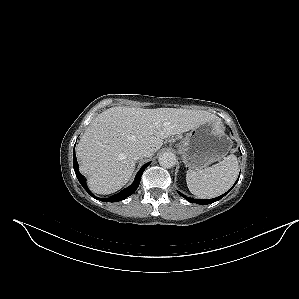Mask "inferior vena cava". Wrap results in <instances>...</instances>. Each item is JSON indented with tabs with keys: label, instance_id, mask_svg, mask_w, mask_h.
I'll list each match as a JSON object with an SVG mask.
<instances>
[{
	"label": "inferior vena cava",
	"instance_id": "1",
	"mask_svg": "<svg viewBox=\"0 0 299 299\" xmlns=\"http://www.w3.org/2000/svg\"><path fill=\"white\" fill-rule=\"evenodd\" d=\"M152 156V152L150 150H147V149H141L140 151H138L136 154H135V159L138 160L140 158H143V157H151Z\"/></svg>",
	"mask_w": 299,
	"mask_h": 299
}]
</instances>
